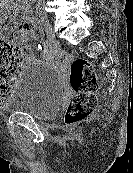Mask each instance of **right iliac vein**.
Wrapping results in <instances>:
<instances>
[{"label": "right iliac vein", "mask_w": 133, "mask_h": 173, "mask_svg": "<svg viewBox=\"0 0 133 173\" xmlns=\"http://www.w3.org/2000/svg\"><path fill=\"white\" fill-rule=\"evenodd\" d=\"M37 16H38L40 24L42 25V27L47 35L49 43H51L53 45L54 44V32H53L52 26L49 22L47 15L42 11H38Z\"/></svg>", "instance_id": "obj_1"}]
</instances>
